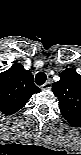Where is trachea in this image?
I'll list each match as a JSON object with an SVG mask.
<instances>
[{
  "label": "trachea",
  "instance_id": "obj_1",
  "mask_svg": "<svg viewBox=\"0 0 81 155\" xmlns=\"http://www.w3.org/2000/svg\"><path fill=\"white\" fill-rule=\"evenodd\" d=\"M47 79V76L44 72H39L36 74L35 82L37 85H43Z\"/></svg>",
  "mask_w": 81,
  "mask_h": 155
}]
</instances>
